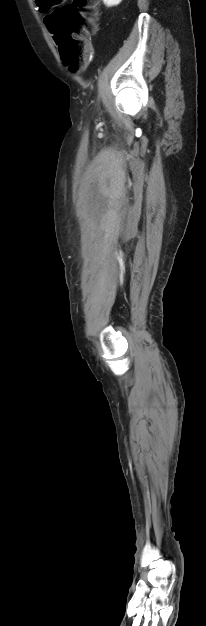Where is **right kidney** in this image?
<instances>
[{
	"label": "right kidney",
	"instance_id": "right-kidney-1",
	"mask_svg": "<svg viewBox=\"0 0 206 626\" xmlns=\"http://www.w3.org/2000/svg\"><path fill=\"white\" fill-rule=\"evenodd\" d=\"M122 0H103L107 7L117 6Z\"/></svg>",
	"mask_w": 206,
	"mask_h": 626
}]
</instances>
